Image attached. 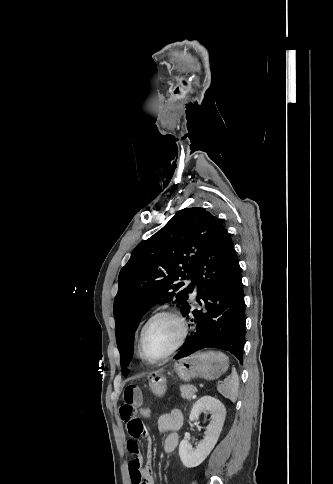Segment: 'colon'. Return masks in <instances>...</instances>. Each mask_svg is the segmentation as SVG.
Masks as SVG:
<instances>
[{
  "label": "colon",
  "instance_id": "colon-1",
  "mask_svg": "<svg viewBox=\"0 0 333 484\" xmlns=\"http://www.w3.org/2000/svg\"><path fill=\"white\" fill-rule=\"evenodd\" d=\"M140 415L143 420H150L152 417V410L149 407H141Z\"/></svg>",
  "mask_w": 333,
  "mask_h": 484
}]
</instances>
